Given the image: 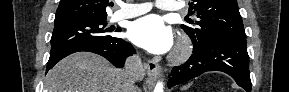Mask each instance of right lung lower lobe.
Listing matches in <instances>:
<instances>
[{
  "label": "right lung lower lobe",
  "instance_id": "obj_1",
  "mask_svg": "<svg viewBox=\"0 0 289 92\" xmlns=\"http://www.w3.org/2000/svg\"><path fill=\"white\" fill-rule=\"evenodd\" d=\"M80 51H88L99 54L109 60L115 67L122 68L125 59L132 55L135 50L133 46L123 39L117 38L111 42H88L72 45L50 53L46 72L64 57Z\"/></svg>",
  "mask_w": 289,
  "mask_h": 92
}]
</instances>
